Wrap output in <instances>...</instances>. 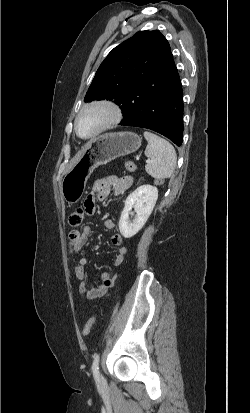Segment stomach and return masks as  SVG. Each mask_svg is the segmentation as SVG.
<instances>
[{
  "label": "stomach",
  "instance_id": "0dacf381",
  "mask_svg": "<svg viewBox=\"0 0 250 413\" xmlns=\"http://www.w3.org/2000/svg\"><path fill=\"white\" fill-rule=\"evenodd\" d=\"M141 141V137L133 132L106 133L92 140L61 182L64 200L68 204L78 202L95 168L137 151Z\"/></svg>",
  "mask_w": 250,
  "mask_h": 413
}]
</instances>
